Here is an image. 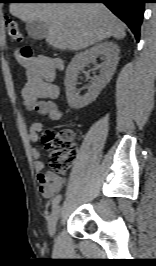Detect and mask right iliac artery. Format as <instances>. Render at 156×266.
I'll return each instance as SVG.
<instances>
[{
    "label": "right iliac artery",
    "instance_id": "1",
    "mask_svg": "<svg viewBox=\"0 0 156 266\" xmlns=\"http://www.w3.org/2000/svg\"><path fill=\"white\" fill-rule=\"evenodd\" d=\"M60 201H61V195L58 194V195L55 196V198L52 201L53 209L57 207V205L59 204Z\"/></svg>",
    "mask_w": 156,
    "mask_h": 266
}]
</instances>
